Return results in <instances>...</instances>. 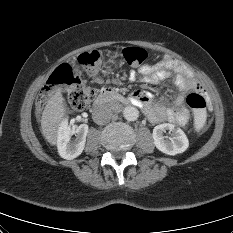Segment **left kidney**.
Returning <instances> with one entry per match:
<instances>
[{"label": "left kidney", "instance_id": "obj_1", "mask_svg": "<svg viewBox=\"0 0 233 233\" xmlns=\"http://www.w3.org/2000/svg\"><path fill=\"white\" fill-rule=\"evenodd\" d=\"M166 130L171 132V137L166 138L163 136ZM152 136L156 148L167 155L174 156L183 153L189 147V141L185 133L173 124L164 123L157 125L153 129Z\"/></svg>", "mask_w": 233, "mask_h": 233}]
</instances>
